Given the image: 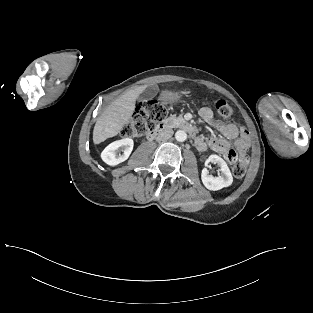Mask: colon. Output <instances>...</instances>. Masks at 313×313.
Segmentation results:
<instances>
[{
  "label": "colon",
  "mask_w": 313,
  "mask_h": 313,
  "mask_svg": "<svg viewBox=\"0 0 313 313\" xmlns=\"http://www.w3.org/2000/svg\"><path fill=\"white\" fill-rule=\"evenodd\" d=\"M213 107L222 118L232 115V107L223 99L213 98ZM168 114L167 108L156 100H149L139 103L134 110L130 120L122 127L121 136L124 138L139 137L154 130ZM225 158L233 164L232 172L236 178H241L246 173L248 158L238 156L235 152H229Z\"/></svg>",
  "instance_id": "5ec220e1"
}]
</instances>
